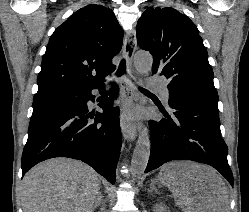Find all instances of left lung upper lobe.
<instances>
[{
  "label": "left lung upper lobe",
  "instance_id": "5c2ea615",
  "mask_svg": "<svg viewBox=\"0 0 249 212\" xmlns=\"http://www.w3.org/2000/svg\"><path fill=\"white\" fill-rule=\"evenodd\" d=\"M137 42L154 57L152 73L181 90L218 101L213 70L195 24L173 8H148L138 20Z\"/></svg>",
  "mask_w": 249,
  "mask_h": 212
}]
</instances>
